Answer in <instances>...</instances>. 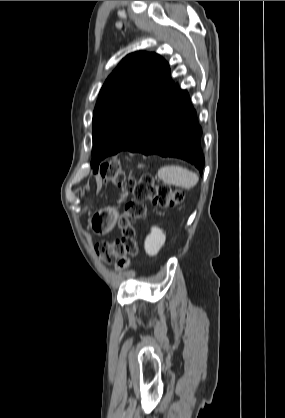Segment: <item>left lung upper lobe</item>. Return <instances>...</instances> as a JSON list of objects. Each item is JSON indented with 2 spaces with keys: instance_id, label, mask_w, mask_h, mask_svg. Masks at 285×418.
<instances>
[{
  "instance_id": "1",
  "label": "left lung upper lobe",
  "mask_w": 285,
  "mask_h": 418,
  "mask_svg": "<svg viewBox=\"0 0 285 418\" xmlns=\"http://www.w3.org/2000/svg\"><path fill=\"white\" fill-rule=\"evenodd\" d=\"M173 85L168 63L156 53L138 51L120 62L93 112L92 168H98L100 154L114 155L130 143Z\"/></svg>"
}]
</instances>
